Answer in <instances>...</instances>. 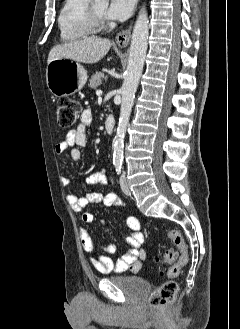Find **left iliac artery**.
I'll return each mask as SVG.
<instances>
[{
    "instance_id": "1",
    "label": "left iliac artery",
    "mask_w": 240,
    "mask_h": 329,
    "mask_svg": "<svg viewBox=\"0 0 240 329\" xmlns=\"http://www.w3.org/2000/svg\"><path fill=\"white\" fill-rule=\"evenodd\" d=\"M116 171L118 172V174L121 172V166H117L116 167Z\"/></svg>"
}]
</instances>
